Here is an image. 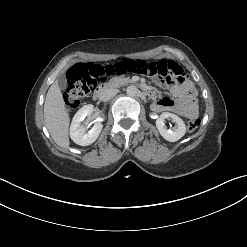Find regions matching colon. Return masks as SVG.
I'll use <instances>...</instances> for the list:
<instances>
[{
	"mask_svg": "<svg viewBox=\"0 0 247 247\" xmlns=\"http://www.w3.org/2000/svg\"><path fill=\"white\" fill-rule=\"evenodd\" d=\"M144 60L126 59L113 64L77 63L67 72V87L64 102L69 110L77 108L97 85V82L109 76L135 72L142 68ZM201 120L192 119L187 124L189 132L195 131Z\"/></svg>",
	"mask_w": 247,
	"mask_h": 247,
	"instance_id": "5ec220e1",
	"label": "colon"
}]
</instances>
